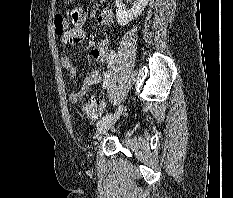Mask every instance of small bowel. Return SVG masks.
Instances as JSON below:
<instances>
[{
  "label": "small bowel",
  "instance_id": "c3829d8e",
  "mask_svg": "<svg viewBox=\"0 0 233 198\" xmlns=\"http://www.w3.org/2000/svg\"><path fill=\"white\" fill-rule=\"evenodd\" d=\"M85 15L81 9H75L71 13L72 26L67 29L61 37V43L64 49V54L61 57V65L63 69L69 74L70 77L77 75V68L70 56L67 53L68 47L74 46L85 40L84 30ZM113 20V11L110 8H104L97 16V23L100 26H108ZM92 57L103 64H109L112 60L111 50L109 48V41L103 38L91 52ZM101 74L98 70H93L87 73L80 85V87L69 93L68 99L71 103H78L83 96L87 93L90 87L100 83Z\"/></svg>",
  "mask_w": 233,
  "mask_h": 198
}]
</instances>
